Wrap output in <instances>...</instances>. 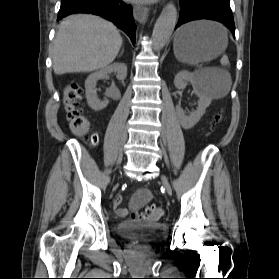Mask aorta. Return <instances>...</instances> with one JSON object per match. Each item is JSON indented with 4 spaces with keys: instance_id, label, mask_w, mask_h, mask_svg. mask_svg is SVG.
<instances>
[{
    "instance_id": "obj_1",
    "label": "aorta",
    "mask_w": 279,
    "mask_h": 279,
    "mask_svg": "<svg viewBox=\"0 0 279 279\" xmlns=\"http://www.w3.org/2000/svg\"><path fill=\"white\" fill-rule=\"evenodd\" d=\"M177 17V9L173 3H169L163 8L153 30L152 46L154 50L162 49L168 43L176 26Z\"/></svg>"
}]
</instances>
